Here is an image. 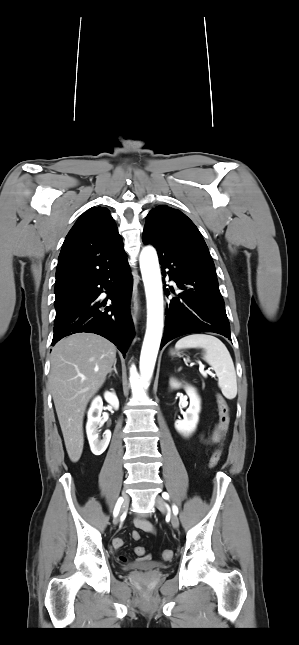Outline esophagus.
I'll list each match as a JSON object with an SVG mask.
<instances>
[{
  "label": "esophagus",
  "instance_id": "obj_1",
  "mask_svg": "<svg viewBox=\"0 0 299 645\" xmlns=\"http://www.w3.org/2000/svg\"><path fill=\"white\" fill-rule=\"evenodd\" d=\"M135 297H136V294L135 292H133V297L131 301V315L134 320L138 316V307H137V301H135Z\"/></svg>",
  "mask_w": 299,
  "mask_h": 645
}]
</instances>
